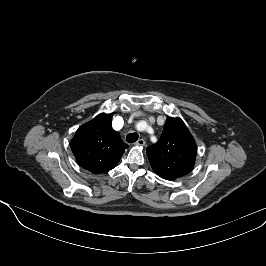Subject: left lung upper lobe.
<instances>
[{
    "mask_svg": "<svg viewBox=\"0 0 266 266\" xmlns=\"http://www.w3.org/2000/svg\"><path fill=\"white\" fill-rule=\"evenodd\" d=\"M153 170L163 179L175 180L194 167L196 143L180 118L166 120L159 141L147 148Z\"/></svg>",
    "mask_w": 266,
    "mask_h": 266,
    "instance_id": "5c2ea615",
    "label": "left lung upper lobe"
}]
</instances>
